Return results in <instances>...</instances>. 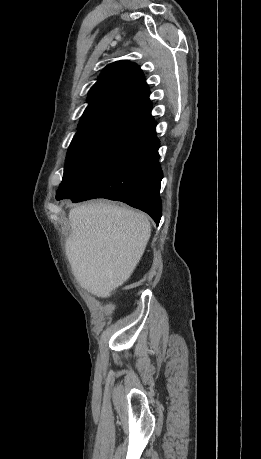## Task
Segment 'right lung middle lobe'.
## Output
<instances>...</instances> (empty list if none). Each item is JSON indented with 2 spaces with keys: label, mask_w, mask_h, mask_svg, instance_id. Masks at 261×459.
<instances>
[{
  "label": "right lung middle lobe",
  "mask_w": 261,
  "mask_h": 459,
  "mask_svg": "<svg viewBox=\"0 0 261 459\" xmlns=\"http://www.w3.org/2000/svg\"><path fill=\"white\" fill-rule=\"evenodd\" d=\"M153 129L142 125H116L74 137L56 199L83 193L98 177L135 150Z\"/></svg>",
  "instance_id": "dd1d6c3e"
}]
</instances>
